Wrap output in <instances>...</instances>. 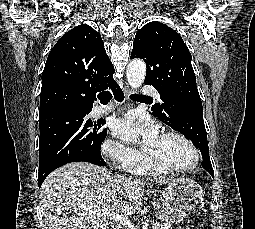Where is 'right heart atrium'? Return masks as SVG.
Here are the masks:
<instances>
[{
  "label": "right heart atrium",
  "instance_id": "obj_1",
  "mask_svg": "<svg viewBox=\"0 0 255 229\" xmlns=\"http://www.w3.org/2000/svg\"><path fill=\"white\" fill-rule=\"evenodd\" d=\"M102 152L105 157L122 166H125L140 157L139 152L134 148L125 146L112 139L104 141Z\"/></svg>",
  "mask_w": 255,
  "mask_h": 229
}]
</instances>
